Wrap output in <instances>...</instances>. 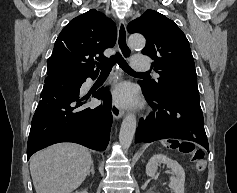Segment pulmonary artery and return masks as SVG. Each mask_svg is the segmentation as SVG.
Segmentation results:
<instances>
[{"label": "pulmonary artery", "instance_id": "pulmonary-artery-1", "mask_svg": "<svg viewBox=\"0 0 237 193\" xmlns=\"http://www.w3.org/2000/svg\"><path fill=\"white\" fill-rule=\"evenodd\" d=\"M131 65L136 71H147L150 66L147 59L144 56H134L131 59Z\"/></svg>", "mask_w": 237, "mask_h": 193}]
</instances>
